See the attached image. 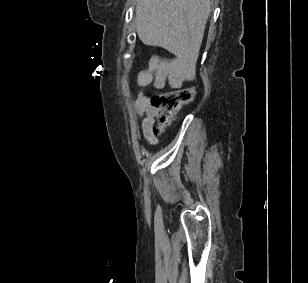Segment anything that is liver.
I'll use <instances>...</instances> for the list:
<instances>
[{
	"mask_svg": "<svg viewBox=\"0 0 308 283\" xmlns=\"http://www.w3.org/2000/svg\"><path fill=\"white\" fill-rule=\"evenodd\" d=\"M211 0H136V31L148 46L195 64Z\"/></svg>",
	"mask_w": 308,
	"mask_h": 283,
	"instance_id": "6515ba94",
	"label": "liver"
}]
</instances>
